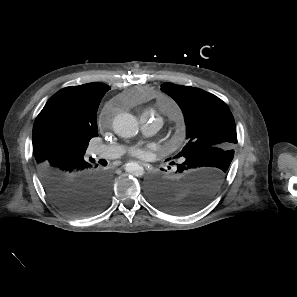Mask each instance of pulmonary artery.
Wrapping results in <instances>:
<instances>
[{"mask_svg":"<svg viewBox=\"0 0 297 297\" xmlns=\"http://www.w3.org/2000/svg\"><path fill=\"white\" fill-rule=\"evenodd\" d=\"M167 114L170 117L175 118L177 116L176 108L173 105H170ZM141 121L144 123L145 128L148 131H155L161 125L160 120L149 121V117L146 115L141 117ZM91 152L99 158L115 159L122 155L123 148L119 145H96L91 148Z\"/></svg>","mask_w":297,"mask_h":297,"instance_id":"1","label":"pulmonary artery"}]
</instances>
